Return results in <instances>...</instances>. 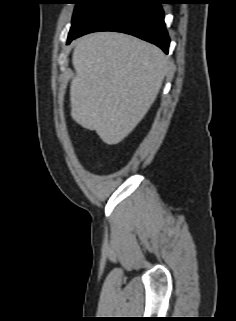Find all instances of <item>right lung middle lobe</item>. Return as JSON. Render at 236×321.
I'll return each mask as SVG.
<instances>
[{"label":"right lung middle lobe","mask_w":236,"mask_h":321,"mask_svg":"<svg viewBox=\"0 0 236 321\" xmlns=\"http://www.w3.org/2000/svg\"><path fill=\"white\" fill-rule=\"evenodd\" d=\"M107 2L108 0H74L76 7L68 40L71 39L83 27L87 20Z\"/></svg>","instance_id":"obj_1"}]
</instances>
